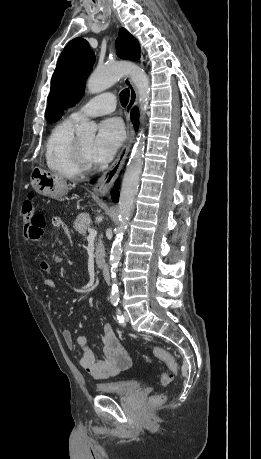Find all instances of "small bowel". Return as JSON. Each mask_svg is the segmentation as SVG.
I'll list each match as a JSON object with an SVG mask.
<instances>
[{"label":"small bowel","instance_id":"c3829d8e","mask_svg":"<svg viewBox=\"0 0 261 459\" xmlns=\"http://www.w3.org/2000/svg\"><path fill=\"white\" fill-rule=\"evenodd\" d=\"M51 225L56 228H61L64 231L68 230L66 223L59 216L52 217ZM42 233H31L30 235L24 234V236L28 241L38 242ZM42 268L47 269L46 263L42 264ZM42 283L47 289L55 288V282L51 278H43ZM62 336L68 348L72 349L75 345H77L81 349L82 354L79 359V364L96 379H103L117 375L120 372L129 369L132 364V359L129 353L123 347L112 325L109 323L103 326V336L101 341L103 358L101 359H97L94 353L90 350L86 337L78 336L74 341L69 330H64L62 332Z\"/></svg>","mask_w":261,"mask_h":459}]
</instances>
